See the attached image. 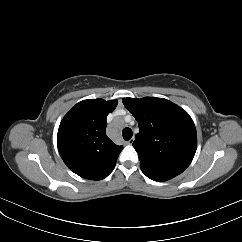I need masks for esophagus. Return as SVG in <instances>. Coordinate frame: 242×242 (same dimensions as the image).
I'll return each mask as SVG.
<instances>
[{"label":"esophagus","instance_id":"1","mask_svg":"<svg viewBox=\"0 0 242 242\" xmlns=\"http://www.w3.org/2000/svg\"><path fill=\"white\" fill-rule=\"evenodd\" d=\"M133 141H134V139L131 138L130 140L126 141V144H128V145H132Z\"/></svg>","mask_w":242,"mask_h":242}]
</instances>
